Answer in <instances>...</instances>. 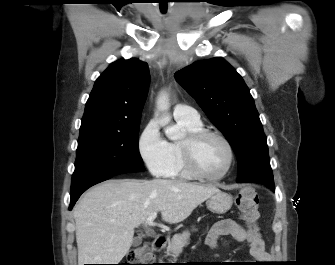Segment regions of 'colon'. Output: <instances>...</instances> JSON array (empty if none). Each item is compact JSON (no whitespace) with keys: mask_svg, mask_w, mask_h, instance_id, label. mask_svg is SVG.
<instances>
[{"mask_svg":"<svg viewBox=\"0 0 335 265\" xmlns=\"http://www.w3.org/2000/svg\"><path fill=\"white\" fill-rule=\"evenodd\" d=\"M236 206L238 207L241 217L251 229L256 228L259 218L258 199L254 190L249 187L243 188L236 196ZM152 248L149 245H142L135 248L129 255L127 264L124 265H151L153 260Z\"/></svg>","mask_w":335,"mask_h":265,"instance_id":"1","label":"colon"}]
</instances>
